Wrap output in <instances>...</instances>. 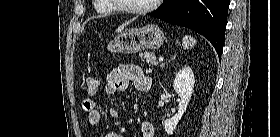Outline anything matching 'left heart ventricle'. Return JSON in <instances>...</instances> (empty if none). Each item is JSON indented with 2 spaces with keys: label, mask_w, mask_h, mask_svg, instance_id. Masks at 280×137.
Returning <instances> with one entry per match:
<instances>
[{
  "label": "left heart ventricle",
  "mask_w": 280,
  "mask_h": 137,
  "mask_svg": "<svg viewBox=\"0 0 280 137\" xmlns=\"http://www.w3.org/2000/svg\"><path fill=\"white\" fill-rule=\"evenodd\" d=\"M152 0H123V5L126 8H139L149 5Z\"/></svg>",
  "instance_id": "1"
}]
</instances>
